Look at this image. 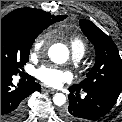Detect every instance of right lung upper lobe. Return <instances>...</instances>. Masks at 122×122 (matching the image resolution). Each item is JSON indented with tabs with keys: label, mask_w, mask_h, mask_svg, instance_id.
<instances>
[{
	"label": "right lung upper lobe",
	"mask_w": 122,
	"mask_h": 122,
	"mask_svg": "<svg viewBox=\"0 0 122 122\" xmlns=\"http://www.w3.org/2000/svg\"><path fill=\"white\" fill-rule=\"evenodd\" d=\"M66 15L53 16L48 12L35 8H19L7 14L1 20H13L31 28L46 29L49 25L62 21Z\"/></svg>",
	"instance_id": "cb5924a9"
}]
</instances>
